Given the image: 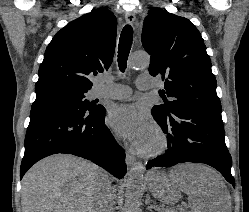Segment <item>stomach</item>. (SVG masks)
<instances>
[{"mask_svg": "<svg viewBox=\"0 0 249 212\" xmlns=\"http://www.w3.org/2000/svg\"><path fill=\"white\" fill-rule=\"evenodd\" d=\"M147 184H150L148 193H157V198H177L179 184H170L166 170H155V175H147ZM165 204H173V199H165Z\"/></svg>", "mask_w": 249, "mask_h": 212, "instance_id": "stomach-1", "label": "stomach"}]
</instances>
